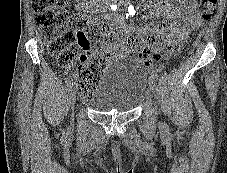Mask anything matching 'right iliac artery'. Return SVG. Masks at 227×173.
<instances>
[{"label":"right iliac artery","instance_id":"82829eb1","mask_svg":"<svg viewBox=\"0 0 227 173\" xmlns=\"http://www.w3.org/2000/svg\"><path fill=\"white\" fill-rule=\"evenodd\" d=\"M73 80H74V76L70 75L67 79H66V87L68 90H70L73 86Z\"/></svg>","mask_w":227,"mask_h":173}]
</instances>
